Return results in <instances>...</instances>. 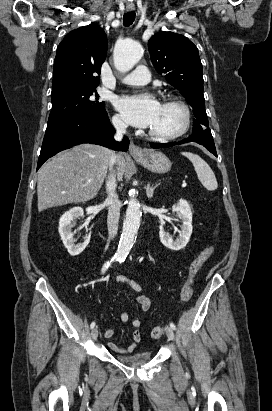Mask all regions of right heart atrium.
<instances>
[{"instance_id":"d8ad5b80","label":"right heart atrium","mask_w":272,"mask_h":411,"mask_svg":"<svg viewBox=\"0 0 272 411\" xmlns=\"http://www.w3.org/2000/svg\"><path fill=\"white\" fill-rule=\"evenodd\" d=\"M113 122H114L115 126L118 127V128H122V127L125 126L122 118H121L120 116H118V115H116V116L113 118Z\"/></svg>"}]
</instances>
